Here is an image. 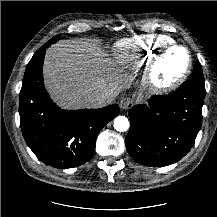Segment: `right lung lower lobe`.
<instances>
[{
  "label": "right lung lower lobe",
  "instance_id": "obj_1",
  "mask_svg": "<svg viewBox=\"0 0 217 217\" xmlns=\"http://www.w3.org/2000/svg\"><path fill=\"white\" fill-rule=\"evenodd\" d=\"M46 48L33 55L25 70L19 104L21 130L29 148L43 163L73 168L91 159L98 133L119 114V106L75 111L57 107L43 84Z\"/></svg>",
  "mask_w": 217,
  "mask_h": 217
}]
</instances>
